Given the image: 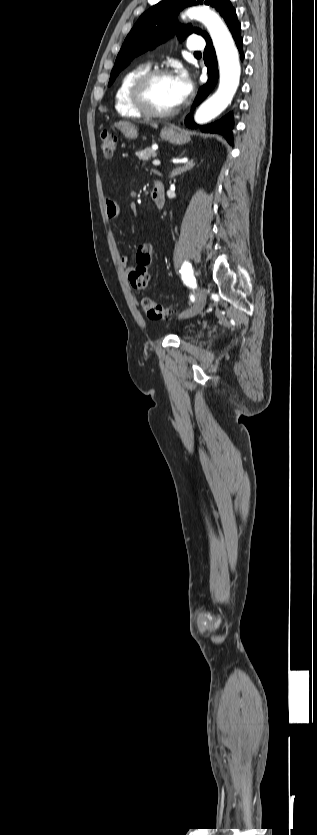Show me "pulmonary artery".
I'll return each instance as SVG.
<instances>
[{
	"label": "pulmonary artery",
	"mask_w": 317,
	"mask_h": 835,
	"mask_svg": "<svg viewBox=\"0 0 317 835\" xmlns=\"http://www.w3.org/2000/svg\"><path fill=\"white\" fill-rule=\"evenodd\" d=\"M204 42L199 36H192L188 42V49L193 52H199L204 49Z\"/></svg>",
	"instance_id": "pulmonary-artery-1"
}]
</instances>
